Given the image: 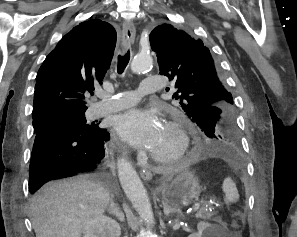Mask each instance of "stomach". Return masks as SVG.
<instances>
[{"label":"stomach","mask_w":297,"mask_h":237,"mask_svg":"<svg viewBox=\"0 0 297 237\" xmlns=\"http://www.w3.org/2000/svg\"><path fill=\"white\" fill-rule=\"evenodd\" d=\"M201 192L198 178L191 171L184 170L174 180L163 185L161 197L163 204L179 208L196 203Z\"/></svg>","instance_id":"0dacf381"}]
</instances>
